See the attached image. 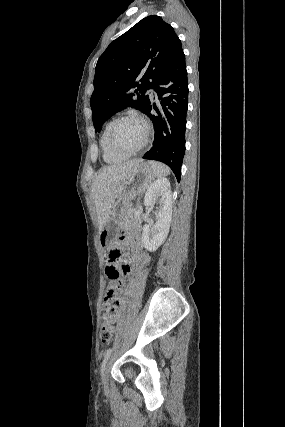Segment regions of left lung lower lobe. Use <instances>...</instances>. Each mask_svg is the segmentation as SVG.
Masks as SVG:
<instances>
[{
  "label": "left lung lower lobe",
  "mask_w": 285,
  "mask_h": 427,
  "mask_svg": "<svg viewBox=\"0 0 285 427\" xmlns=\"http://www.w3.org/2000/svg\"><path fill=\"white\" fill-rule=\"evenodd\" d=\"M160 108L149 104L145 114L152 120L155 139L152 148L142 157L167 164L177 181L181 179V166L185 154L186 114L188 109V81L183 50L173 65L154 87Z\"/></svg>",
  "instance_id": "1"
}]
</instances>
